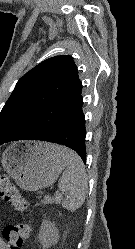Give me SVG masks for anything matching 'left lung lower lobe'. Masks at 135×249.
<instances>
[{"label":"left lung lower lobe","instance_id":"obj_1","mask_svg":"<svg viewBox=\"0 0 135 249\" xmlns=\"http://www.w3.org/2000/svg\"><path fill=\"white\" fill-rule=\"evenodd\" d=\"M82 85L36 113L29 123L0 145L17 140H40L66 145L86 162Z\"/></svg>","mask_w":135,"mask_h":249}]
</instances>
